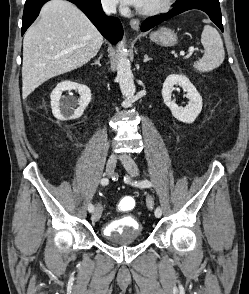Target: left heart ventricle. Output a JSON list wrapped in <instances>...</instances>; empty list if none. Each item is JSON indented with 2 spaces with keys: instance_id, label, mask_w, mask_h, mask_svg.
I'll list each match as a JSON object with an SVG mask.
<instances>
[{
  "instance_id": "b2bd125f",
  "label": "left heart ventricle",
  "mask_w": 249,
  "mask_h": 294,
  "mask_svg": "<svg viewBox=\"0 0 249 294\" xmlns=\"http://www.w3.org/2000/svg\"><path fill=\"white\" fill-rule=\"evenodd\" d=\"M165 0H143L140 8L149 9L162 4Z\"/></svg>"
}]
</instances>
